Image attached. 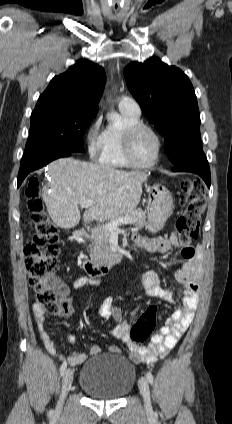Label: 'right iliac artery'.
Masks as SVG:
<instances>
[{"mask_svg": "<svg viewBox=\"0 0 232 424\" xmlns=\"http://www.w3.org/2000/svg\"><path fill=\"white\" fill-rule=\"evenodd\" d=\"M66 368H67V362H66V361H64V362L62 363L61 367H60V374H61V375H63V374H64V372H65Z\"/></svg>", "mask_w": 232, "mask_h": 424, "instance_id": "right-iliac-artery-1", "label": "right iliac artery"}]
</instances>
